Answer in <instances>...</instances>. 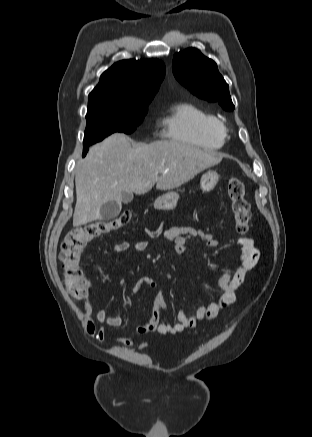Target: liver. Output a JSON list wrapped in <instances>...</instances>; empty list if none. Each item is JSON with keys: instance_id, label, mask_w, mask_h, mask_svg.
Listing matches in <instances>:
<instances>
[{"instance_id": "6515ba94", "label": "liver", "mask_w": 312, "mask_h": 437, "mask_svg": "<svg viewBox=\"0 0 312 437\" xmlns=\"http://www.w3.org/2000/svg\"><path fill=\"white\" fill-rule=\"evenodd\" d=\"M132 143L124 134H112L77 163L74 227L101 219L100 208L108 201L121 203L123 192L145 194L155 184L158 190L177 188L222 161L219 153L176 141Z\"/></svg>"}]
</instances>
